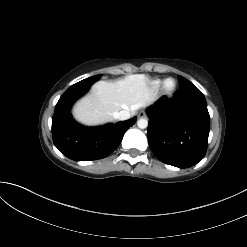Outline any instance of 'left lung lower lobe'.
<instances>
[{
  "label": "left lung lower lobe",
  "mask_w": 247,
  "mask_h": 247,
  "mask_svg": "<svg viewBox=\"0 0 247 247\" xmlns=\"http://www.w3.org/2000/svg\"><path fill=\"white\" fill-rule=\"evenodd\" d=\"M147 114L149 146L160 161L188 168L204 158L210 116L206 99L196 86H181L174 98H160Z\"/></svg>",
  "instance_id": "0a47b994"
}]
</instances>
